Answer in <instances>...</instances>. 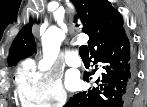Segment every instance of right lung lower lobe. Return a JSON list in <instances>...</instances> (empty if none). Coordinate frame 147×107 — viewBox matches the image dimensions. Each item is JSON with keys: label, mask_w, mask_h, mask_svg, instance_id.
<instances>
[{"label": "right lung lower lobe", "mask_w": 147, "mask_h": 107, "mask_svg": "<svg viewBox=\"0 0 147 107\" xmlns=\"http://www.w3.org/2000/svg\"><path fill=\"white\" fill-rule=\"evenodd\" d=\"M90 54L96 66L91 73L85 72L83 79L90 82L91 76L99 70L102 73L95 82L98 86L75 94L64 107H128L135 66L124 28Z\"/></svg>", "instance_id": "98d812e1"}]
</instances>
